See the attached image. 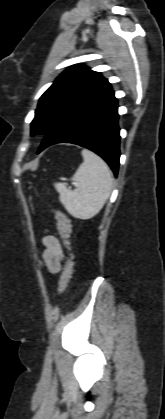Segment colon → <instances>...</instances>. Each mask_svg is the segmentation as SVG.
Wrapping results in <instances>:
<instances>
[{
  "label": "colon",
  "mask_w": 165,
  "mask_h": 419,
  "mask_svg": "<svg viewBox=\"0 0 165 419\" xmlns=\"http://www.w3.org/2000/svg\"><path fill=\"white\" fill-rule=\"evenodd\" d=\"M53 213L57 221L58 233L63 241L66 249H69V237L71 234V221L70 218L58 208H53ZM73 275V262L68 253V258L64 263L63 274L59 282V293L63 294L69 287Z\"/></svg>",
  "instance_id": "colon-1"
}]
</instances>
